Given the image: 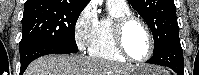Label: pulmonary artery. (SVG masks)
I'll return each mask as SVG.
<instances>
[{
	"label": "pulmonary artery",
	"mask_w": 199,
	"mask_h": 75,
	"mask_svg": "<svg viewBox=\"0 0 199 75\" xmlns=\"http://www.w3.org/2000/svg\"><path fill=\"white\" fill-rule=\"evenodd\" d=\"M108 4H109V6H112V7H119V8H126V7H128L126 1L109 0Z\"/></svg>",
	"instance_id": "obj_1"
}]
</instances>
